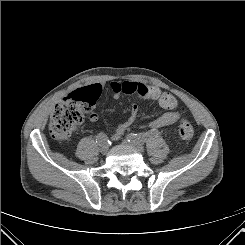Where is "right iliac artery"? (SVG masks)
<instances>
[{
  "instance_id": "82829eb1",
  "label": "right iliac artery",
  "mask_w": 245,
  "mask_h": 245,
  "mask_svg": "<svg viewBox=\"0 0 245 245\" xmlns=\"http://www.w3.org/2000/svg\"><path fill=\"white\" fill-rule=\"evenodd\" d=\"M96 142L98 145L103 146V145H106L109 142V140L104 133H99L96 136Z\"/></svg>"
}]
</instances>
